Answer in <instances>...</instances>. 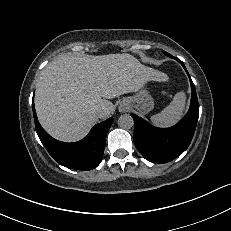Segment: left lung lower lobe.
Returning <instances> with one entry per match:
<instances>
[{"instance_id":"0a47b994","label":"left lung lower lobe","mask_w":231,"mask_h":231,"mask_svg":"<svg viewBox=\"0 0 231 231\" xmlns=\"http://www.w3.org/2000/svg\"><path fill=\"white\" fill-rule=\"evenodd\" d=\"M176 60L181 63L187 72L184 63L178 58ZM189 79L192 89L190 109L186 116L175 126L165 129L157 128L137 115L131 114L135 123L134 143L148 161L166 163L178 157L188 148L199 116V104L195 86L190 76Z\"/></svg>"}]
</instances>
